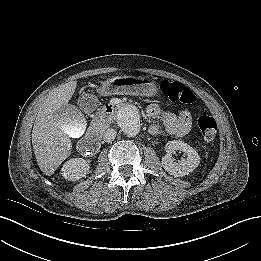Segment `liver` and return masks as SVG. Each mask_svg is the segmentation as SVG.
<instances>
[{"instance_id":"1","label":"liver","mask_w":261,"mask_h":261,"mask_svg":"<svg viewBox=\"0 0 261 261\" xmlns=\"http://www.w3.org/2000/svg\"><path fill=\"white\" fill-rule=\"evenodd\" d=\"M77 81H70L60 85L48 93L38 108V113L32 130V145L37 164L41 171L50 176L71 154L72 143L68 136L64 121L67 118L61 115L63 107L68 105L72 98ZM75 120L72 121L75 134H81L84 119L82 113L74 107Z\"/></svg>"}]
</instances>
